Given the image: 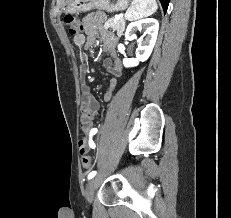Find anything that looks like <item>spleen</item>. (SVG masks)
Here are the masks:
<instances>
[{
  "mask_svg": "<svg viewBox=\"0 0 231 218\" xmlns=\"http://www.w3.org/2000/svg\"><path fill=\"white\" fill-rule=\"evenodd\" d=\"M158 9L156 0H133L132 5L125 13L129 21L140 19L155 13Z\"/></svg>",
  "mask_w": 231,
  "mask_h": 218,
  "instance_id": "3e777b00",
  "label": "spleen"
}]
</instances>
